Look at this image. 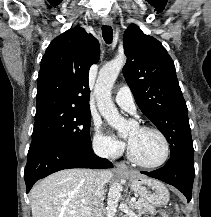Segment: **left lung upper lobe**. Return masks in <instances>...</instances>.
Listing matches in <instances>:
<instances>
[{
    "label": "left lung upper lobe",
    "instance_id": "left-lung-upper-lobe-1",
    "mask_svg": "<svg viewBox=\"0 0 211 217\" xmlns=\"http://www.w3.org/2000/svg\"><path fill=\"white\" fill-rule=\"evenodd\" d=\"M123 43V75L137 105L166 137L170 157H194L188 110L173 60L158 40L134 24L127 28Z\"/></svg>",
    "mask_w": 211,
    "mask_h": 217
}]
</instances>
